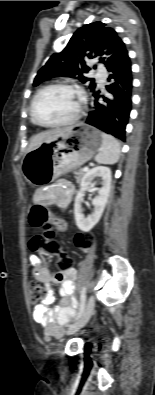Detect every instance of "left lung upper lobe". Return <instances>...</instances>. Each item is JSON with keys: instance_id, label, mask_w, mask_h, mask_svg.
Returning a JSON list of instances; mask_svg holds the SVG:
<instances>
[{"instance_id": "left-lung-upper-lobe-1", "label": "left lung upper lobe", "mask_w": 155, "mask_h": 395, "mask_svg": "<svg viewBox=\"0 0 155 395\" xmlns=\"http://www.w3.org/2000/svg\"><path fill=\"white\" fill-rule=\"evenodd\" d=\"M127 55L125 44L114 29L102 22H93L79 28L65 49L50 57L38 71L33 85L37 86L52 77L68 76L75 77L83 83L91 80L89 88L94 92L96 84L83 75L90 70L87 60L97 58L109 70Z\"/></svg>"}]
</instances>
